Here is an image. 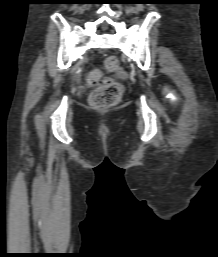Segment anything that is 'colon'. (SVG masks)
Returning a JSON list of instances; mask_svg holds the SVG:
<instances>
[{
  "instance_id": "colon-1",
  "label": "colon",
  "mask_w": 218,
  "mask_h": 257,
  "mask_svg": "<svg viewBox=\"0 0 218 257\" xmlns=\"http://www.w3.org/2000/svg\"><path fill=\"white\" fill-rule=\"evenodd\" d=\"M117 72V79H133L131 70H121L119 61L115 56L107 57L102 67L94 68L88 75V83L94 89L89 97V105L92 109L103 110L116 105L122 94V84L108 79L101 82L104 73Z\"/></svg>"
}]
</instances>
